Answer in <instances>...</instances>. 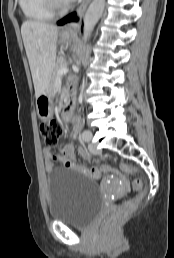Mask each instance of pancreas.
Segmentation results:
<instances>
[{
  "label": "pancreas",
  "mask_w": 174,
  "mask_h": 258,
  "mask_svg": "<svg viewBox=\"0 0 174 258\" xmlns=\"http://www.w3.org/2000/svg\"><path fill=\"white\" fill-rule=\"evenodd\" d=\"M67 66V63L63 60H60L56 63L55 65V68H54V71H53V75H52V83H51V88H50V91H51V94L55 92L53 86H54V83L55 81L57 80V78L59 77L58 76V71L63 68V67H66Z\"/></svg>",
  "instance_id": "cf45deb5"
}]
</instances>
